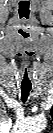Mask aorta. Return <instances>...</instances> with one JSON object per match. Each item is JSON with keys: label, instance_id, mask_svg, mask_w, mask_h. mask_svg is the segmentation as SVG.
<instances>
[{"label": "aorta", "instance_id": "aorta-1", "mask_svg": "<svg viewBox=\"0 0 53 133\" xmlns=\"http://www.w3.org/2000/svg\"><path fill=\"white\" fill-rule=\"evenodd\" d=\"M45 120L41 117L28 119L19 124L23 133H37L45 127Z\"/></svg>", "mask_w": 53, "mask_h": 133}]
</instances>
